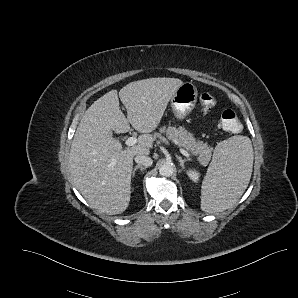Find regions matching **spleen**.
Instances as JSON below:
<instances>
[{"label": "spleen", "instance_id": "spleen-1", "mask_svg": "<svg viewBox=\"0 0 298 298\" xmlns=\"http://www.w3.org/2000/svg\"><path fill=\"white\" fill-rule=\"evenodd\" d=\"M251 140L233 136L219 142L201 188V209L219 213L234 205L246 190L253 169Z\"/></svg>", "mask_w": 298, "mask_h": 298}]
</instances>
